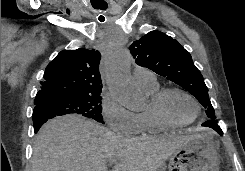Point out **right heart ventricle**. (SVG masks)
<instances>
[{
    "label": "right heart ventricle",
    "mask_w": 245,
    "mask_h": 171,
    "mask_svg": "<svg viewBox=\"0 0 245 171\" xmlns=\"http://www.w3.org/2000/svg\"><path fill=\"white\" fill-rule=\"evenodd\" d=\"M143 91L148 95H153L158 89L159 85L156 83L150 87H141ZM140 122L139 134H156L163 132L166 128L159 125L150 115L147 108L137 114Z\"/></svg>",
    "instance_id": "right-heart-ventricle-1"
}]
</instances>
